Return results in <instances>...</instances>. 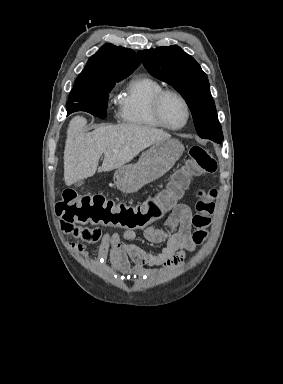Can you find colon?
Wrapping results in <instances>:
<instances>
[{
    "label": "colon",
    "mask_w": 283,
    "mask_h": 384,
    "mask_svg": "<svg viewBox=\"0 0 283 384\" xmlns=\"http://www.w3.org/2000/svg\"><path fill=\"white\" fill-rule=\"evenodd\" d=\"M217 169V160L209 149L195 145L189 151L186 168L164 192L137 204L115 203L102 195H89L75 189H66L56 204V213L61 224L70 226L99 225L122 230H142L161 219L180 197L191 175L212 174ZM215 189L201 190L192 222L195 227L193 241L201 244L211 222L215 208Z\"/></svg>",
    "instance_id": "colon-1"
}]
</instances>
